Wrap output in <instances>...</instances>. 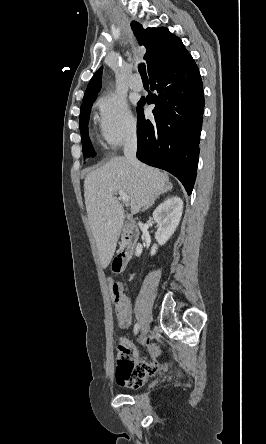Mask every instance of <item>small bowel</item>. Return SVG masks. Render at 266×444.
Returning <instances> with one entry per match:
<instances>
[{"instance_id": "small-bowel-1", "label": "small bowel", "mask_w": 266, "mask_h": 444, "mask_svg": "<svg viewBox=\"0 0 266 444\" xmlns=\"http://www.w3.org/2000/svg\"><path fill=\"white\" fill-rule=\"evenodd\" d=\"M114 309L119 327L123 330L128 329L132 319L131 303L128 296L124 294L122 303ZM145 343L150 352L155 351L156 346L152 341L147 340ZM166 366L167 364H161L156 360L147 362L140 359L133 344L128 339L122 338L120 340L115 371L118 385L137 389L144 384L149 376Z\"/></svg>"}]
</instances>
